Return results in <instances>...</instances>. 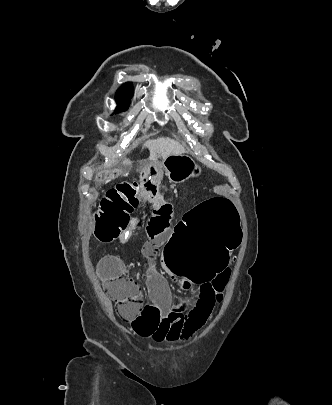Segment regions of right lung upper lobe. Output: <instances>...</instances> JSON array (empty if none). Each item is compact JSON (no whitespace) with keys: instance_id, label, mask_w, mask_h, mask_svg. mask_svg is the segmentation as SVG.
<instances>
[{"instance_id":"obj_1","label":"right lung upper lobe","mask_w":332,"mask_h":405,"mask_svg":"<svg viewBox=\"0 0 332 405\" xmlns=\"http://www.w3.org/2000/svg\"><path fill=\"white\" fill-rule=\"evenodd\" d=\"M124 87L131 88L130 84H126ZM132 89V88H131Z\"/></svg>"}]
</instances>
